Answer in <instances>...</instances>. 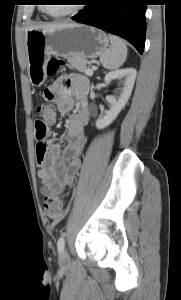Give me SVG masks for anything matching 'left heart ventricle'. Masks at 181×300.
Returning <instances> with one entry per match:
<instances>
[{"label":"left heart ventricle","mask_w":181,"mask_h":300,"mask_svg":"<svg viewBox=\"0 0 181 300\" xmlns=\"http://www.w3.org/2000/svg\"><path fill=\"white\" fill-rule=\"evenodd\" d=\"M51 2L56 3L57 5H49L47 6L48 9L54 14H61L67 12L73 8V6L69 3L72 1H65V0H51ZM62 3V4H59Z\"/></svg>","instance_id":"1"}]
</instances>
